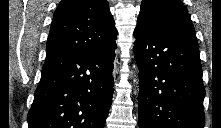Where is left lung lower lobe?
<instances>
[{
    "instance_id": "1",
    "label": "left lung lower lobe",
    "mask_w": 221,
    "mask_h": 128,
    "mask_svg": "<svg viewBox=\"0 0 221 128\" xmlns=\"http://www.w3.org/2000/svg\"><path fill=\"white\" fill-rule=\"evenodd\" d=\"M139 128H203L205 89L199 47L137 25Z\"/></svg>"
}]
</instances>
